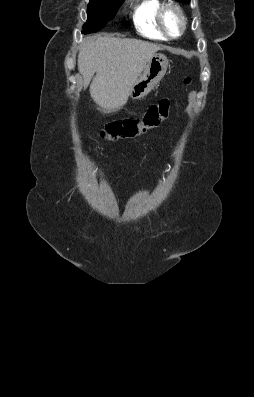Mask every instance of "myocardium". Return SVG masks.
<instances>
[{
  "instance_id": "obj_1",
  "label": "myocardium",
  "mask_w": 254,
  "mask_h": 397,
  "mask_svg": "<svg viewBox=\"0 0 254 397\" xmlns=\"http://www.w3.org/2000/svg\"><path fill=\"white\" fill-rule=\"evenodd\" d=\"M169 10L174 11L178 15V17L181 21V29H180V32L178 35H172L167 30V28L165 26L164 17H165L166 12ZM157 22H158L160 30L163 32V34L168 39H177V38L181 37L184 34V32L186 30V26H187V19H186V16H185L182 8L178 4H175L172 2L165 3L159 8V11L157 14Z\"/></svg>"
}]
</instances>
